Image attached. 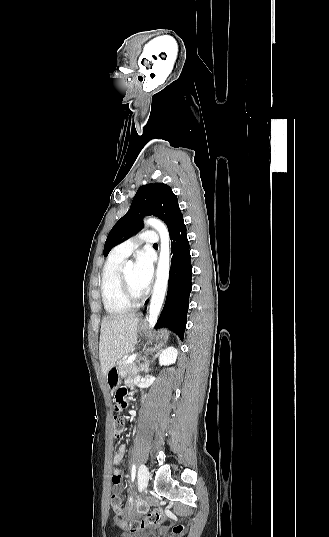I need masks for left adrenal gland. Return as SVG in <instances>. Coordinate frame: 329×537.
Segmentation results:
<instances>
[{
  "label": "left adrenal gland",
  "instance_id": "a2214340",
  "mask_svg": "<svg viewBox=\"0 0 329 537\" xmlns=\"http://www.w3.org/2000/svg\"><path fill=\"white\" fill-rule=\"evenodd\" d=\"M163 346H164V343H160L158 346H156L154 351H157V353L153 356V359H155L159 355V353L162 351ZM149 364H150L149 361L145 363L144 368L146 371H149Z\"/></svg>",
  "mask_w": 329,
  "mask_h": 537
}]
</instances>
